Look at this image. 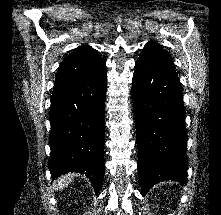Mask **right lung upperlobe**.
Instances as JSON below:
<instances>
[{
	"label": "right lung upper lobe",
	"instance_id": "right-lung-upper-lobe-1",
	"mask_svg": "<svg viewBox=\"0 0 221 215\" xmlns=\"http://www.w3.org/2000/svg\"><path fill=\"white\" fill-rule=\"evenodd\" d=\"M105 62L96 50L80 46L69 54L59 66L54 92L83 82L105 69Z\"/></svg>",
	"mask_w": 221,
	"mask_h": 215
}]
</instances>
